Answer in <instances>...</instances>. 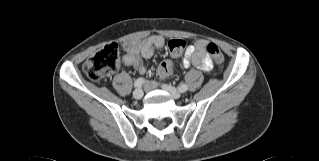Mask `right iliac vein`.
Wrapping results in <instances>:
<instances>
[{
  "mask_svg": "<svg viewBox=\"0 0 319 161\" xmlns=\"http://www.w3.org/2000/svg\"><path fill=\"white\" fill-rule=\"evenodd\" d=\"M142 96H143V91H142V89H136V90H134V92H133V97L135 98V99H137V100H139V99H141L142 98Z\"/></svg>",
  "mask_w": 319,
  "mask_h": 161,
  "instance_id": "obj_1",
  "label": "right iliac vein"
}]
</instances>
